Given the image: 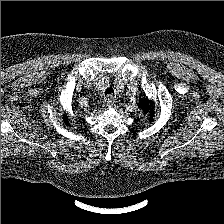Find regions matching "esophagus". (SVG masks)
<instances>
[{
  "label": "esophagus",
  "mask_w": 224,
  "mask_h": 224,
  "mask_svg": "<svg viewBox=\"0 0 224 224\" xmlns=\"http://www.w3.org/2000/svg\"><path fill=\"white\" fill-rule=\"evenodd\" d=\"M114 102H115V99H114L111 95H109V96H108V99H107V106H108L109 108H112L113 105H114Z\"/></svg>",
  "instance_id": "1"
}]
</instances>
